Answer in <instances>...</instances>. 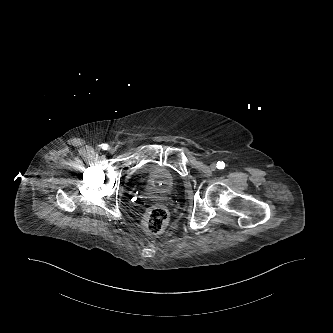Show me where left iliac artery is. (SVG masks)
I'll return each instance as SVG.
<instances>
[{"label":"left iliac artery","instance_id":"44dca946","mask_svg":"<svg viewBox=\"0 0 333 333\" xmlns=\"http://www.w3.org/2000/svg\"><path fill=\"white\" fill-rule=\"evenodd\" d=\"M225 167V163L223 161H218L217 162V168L218 169H224Z\"/></svg>","mask_w":333,"mask_h":333}]
</instances>
